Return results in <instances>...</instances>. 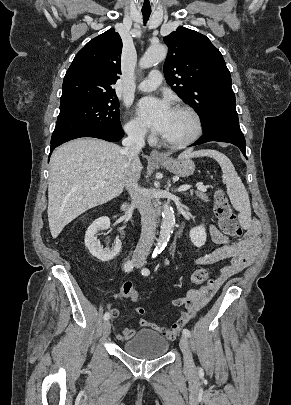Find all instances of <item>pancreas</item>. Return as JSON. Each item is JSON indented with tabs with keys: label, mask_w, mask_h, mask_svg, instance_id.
<instances>
[{
	"label": "pancreas",
	"mask_w": 291,
	"mask_h": 405,
	"mask_svg": "<svg viewBox=\"0 0 291 405\" xmlns=\"http://www.w3.org/2000/svg\"><path fill=\"white\" fill-rule=\"evenodd\" d=\"M196 197L205 202L209 201L208 195L203 192H197Z\"/></svg>",
	"instance_id": "pancreas-1"
}]
</instances>
